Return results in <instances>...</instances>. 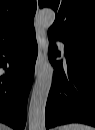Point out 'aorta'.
<instances>
[{"label":"aorta","instance_id":"aorta-1","mask_svg":"<svg viewBox=\"0 0 95 130\" xmlns=\"http://www.w3.org/2000/svg\"><path fill=\"white\" fill-rule=\"evenodd\" d=\"M37 18L45 30L54 23L55 13L52 9L44 8L38 12ZM53 67L45 62L35 81L28 111L29 130H45V107L52 84Z\"/></svg>","mask_w":95,"mask_h":130}]
</instances>
